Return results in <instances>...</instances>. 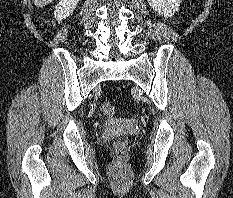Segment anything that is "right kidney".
I'll return each instance as SVG.
<instances>
[{"label":"right kidney","instance_id":"obj_1","mask_svg":"<svg viewBox=\"0 0 233 198\" xmlns=\"http://www.w3.org/2000/svg\"><path fill=\"white\" fill-rule=\"evenodd\" d=\"M79 0H60L55 7L54 17L57 20H63L73 13Z\"/></svg>","mask_w":233,"mask_h":198}]
</instances>
